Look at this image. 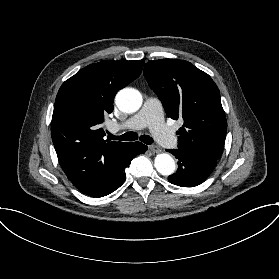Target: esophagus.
Segmentation results:
<instances>
[{
  "label": "esophagus",
  "mask_w": 279,
  "mask_h": 279,
  "mask_svg": "<svg viewBox=\"0 0 279 279\" xmlns=\"http://www.w3.org/2000/svg\"><path fill=\"white\" fill-rule=\"evenodd\" d=\"M150 151H152L153 153H160L161 149L158 146L155 145H151L148 147Z\"/></svg>",
  "instance_id": "esophagus-1"
}]
</instances>
